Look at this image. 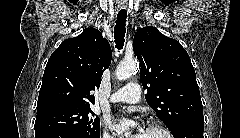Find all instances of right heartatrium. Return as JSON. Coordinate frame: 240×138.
I'll return each instance as SVG.
<instances>
[{
	"label": "right heart atrium",
	"instance_id": "d8ad5b80",
	"mask_svg": "<svg viewBox=\"0 0 240 138\" xmlns=\"http://www.w3.org/2000/svg\"><path fill=\"white\" fill-rule=\"evenodd\" d=\"M103 138H114L105 128L102 133Z\"/></svg>",
	"mask_w": 240,
	"mask_h": 138
}]
</instances>
